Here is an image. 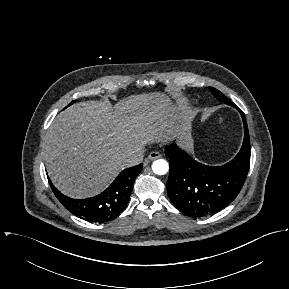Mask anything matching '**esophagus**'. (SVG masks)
I'll return each mask as SVG.
<instances>
[{"label":"esophagus","mask_w":289,"mask_h":289,"mask_svg":"<svg viewBox=\"0 0 289 289\" xmlns=\"http://www.w3.org/2000/svg\"><path fill=\"white\" fill-rule=\"evenodd\" d=\"M161 158V154L159 152L153 151L148 155V160H155Z\"/></svg>","instance_id":"esophagus-1"}]
</instances>
